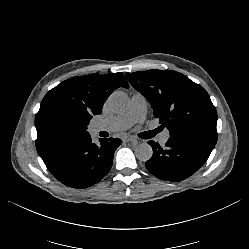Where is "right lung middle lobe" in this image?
<instances>
[{"mask_svg": "<svg viewBox=\"0 0 249 249\" xmlns=\"http://www.w3.org/2000/svg\"><path fill=\"white\" fill-rule=\"evenodd\" d=\"M90 118L82 116L78 111L64 108L53 109L47 118L48 128L52 134L61 138H70L88 133L86 131Z\"/></svg>", "mask_w": 249, "mask_h": 249, "instance_id": "right-lung-middle-lobe-1", "label": "right lung middle lobe"}]
</instances>
